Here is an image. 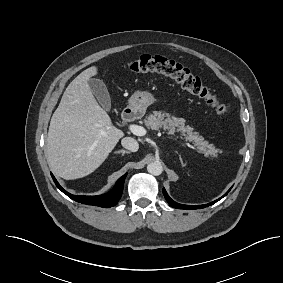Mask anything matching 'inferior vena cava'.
<instances>
[{
  "label": "inferior vena cava",
  "instance_id": "1",
  "mask_svg": "<svg viewBox=\"0 0 283 283\" xmlns=\"http://www.w3.org/2000/svg\"><path fill=\"white\" fill-rule=\"evenodd\" d=\"M121 144L125 149L130 150L132 152H136L139 148L138 142L134 138H131V137L123 138L121 140Z\"/></svg>",
  "mask_w": 283,
  "mask_h": 283
}]
</instances>
